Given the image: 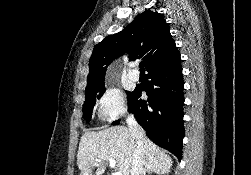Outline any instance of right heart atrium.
Instances as JSON below:
<instances>
[{
  "label": "right heart atrium",
  "mask_w": 251,
  "mask_h": 175,
  "mask_svg": "<svg viewBox=\"0 0 251 175\" xmlns=\"http://www.w3.org/2000/svg\"><path fill=\"white\" fill-rule=\"evenodd\" d=\"M98 118L101 121H113L125 112L123 92L113 83V77H106V86L95 104Z\"/></svg>",
  "instance_id": "obj_1"
}]
</instances>
